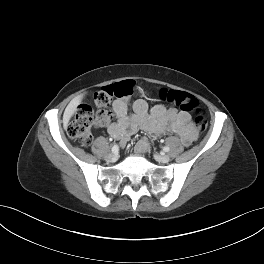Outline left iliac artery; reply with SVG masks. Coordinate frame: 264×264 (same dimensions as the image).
Returning <instances> with one entry per match:
<instances>
[{
  "mask_svg": "<svg viewBox=\"0 0 264 264\" xmlns=\"http://www.w3.org/2000/svg\"><path fill=\"white\" fill-rule=\"evenodd\" d=\"M169 150H170L169 147H164V148H163V151H164V152H168Z\"/></svg>",
  "mask_w": 264,
  "mask_h": 264,
  "instance_id": "44dca946",
  "label": "left iliac artery"
}]
</instances>
